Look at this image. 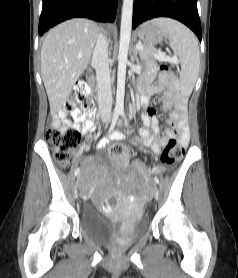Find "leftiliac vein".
Returning a JSON list of instances; mask_svg holds the SVG:
<instances>
[{"mask_svg":"<svg viewBox=\"0 0 238 278\" xmlns=\"http://www.w3.org/2000/svg\"><path fill=\"white\" fill-rule=\"evenodd\" d=\"M158 194H160V191H156V193H155L156 198L158 197Z\"/></svg>","mask_w":238,"mask_h":278,"instance_id":"obj_1","label":"left iliac vein"}]
</instances>
